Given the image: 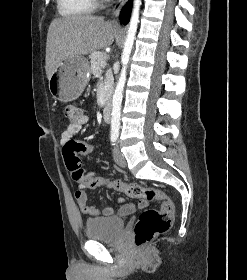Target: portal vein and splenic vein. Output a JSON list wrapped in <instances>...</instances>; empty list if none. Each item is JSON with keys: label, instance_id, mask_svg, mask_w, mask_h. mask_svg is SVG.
Listing matches in <instances>:
<instances>
[{"label": "portal vein and splenic vein", "instance_id": "18ae733b", "mask_svg": "<svg viewBox=\"0 0 247 280\" xmlns=\"http://www.w3.org/2000/svg\"><path fill=\"white\" fill-rule=\"evenodd\" d=\"M106 63H102V66L105 67Z\"/></svg>", "mask_w": 247, "mask_h": 280}]
</instances>
